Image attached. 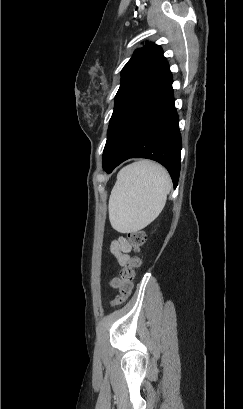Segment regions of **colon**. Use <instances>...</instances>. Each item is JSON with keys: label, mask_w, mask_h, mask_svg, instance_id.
I'll list each match as a JSON object with an SVG mask.
<instances>
[{"label": "colon", "mask_w": 243, "mask_h": 409, "mask_svg": "<svg viewBox=\"0 0 243 409\" xmlns=\"http://www.w3.org/2000/svg\"><path fill=\"white\" fill-rule=\"evenodd\" d=\"M127 237L136 253L140 251V248L144 245L147 239L146 232L143 230L130 231L128 232ZM140 264L138 255H135L129 259L125 267L122 269L119 283L120 294L113 300V306H119L126 302L133 289L135 269H137Z\"/></svg>", "instance_id": "colon-1"}]
</instances>
